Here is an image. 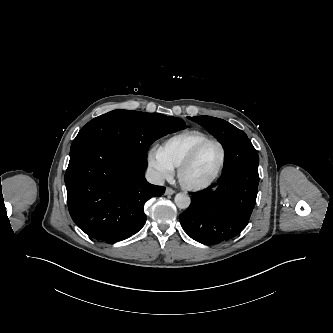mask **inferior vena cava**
Masks as SVG:
<instances>
[{
  "label": "inferior vena cava",
  "instance_id": "obj_1",
  "mask_svg": "<svg viewBox=\"0 0 333 333\" xmlns=\"http://www.w3.org/2000/svg\"><path fill=\"white\" fill-rule=\"evenodd\" d=\"M145 178L147 181L151 184L155 185H163L164 184V179L161 176V174L154 170V169H148L145 174Z\"/></svg>",
  "mask_w": 333,
  "mask_h": 333
}]
</instances>
